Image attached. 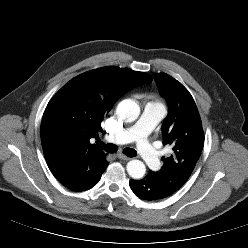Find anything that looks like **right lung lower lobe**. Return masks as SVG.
Wrapping results in <instances>:
<instances>
[{
    "instance_id": "1",
    "label": "right lung lower lobe",
    "mask_w": 248,
    "mask_h": 248,
    "mask_svg": "<svg viewBox=\"0 0 248 248\" xmlns=\"http://www.w3.org/2000/svg\"><path fill=\"white\" fill-rule=\"evenodd\" d=\"M107 165L108 162L106 161V165L104 167H101L100 169L94 172L86 174L85 178L81 182H79L76 186L70 189L76 192H81L91 189L96 183L99 182L101 175L105 171Z\"/></svg>"
}]
</instances>
